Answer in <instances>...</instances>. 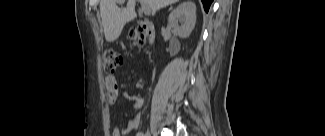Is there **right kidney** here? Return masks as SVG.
<instances>
[{
	"label": "right kidney",
	"mask_w": 325,
	"mask_h": 136,
	"mask_svg": "<svg viewBox=\"0 0 325 136\" xmlns=\"http://www.w3.org/2000/svg\"><path fill=\"white\" fill-rule=\"evenodd\" d=\"M180 23V25L178 24ZM196 23V6L191 0L184 1L174 9L168 19L172 32L180 38H187Z\"/></svg>",
	"instance_id": "ca27d5eb"
}]
</instances>
